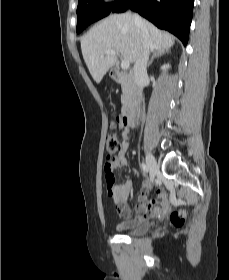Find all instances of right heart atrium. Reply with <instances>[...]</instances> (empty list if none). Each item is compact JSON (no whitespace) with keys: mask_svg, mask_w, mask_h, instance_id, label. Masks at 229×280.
Returning <instances> with one entry per match:
<instances>
[{"mask_svg":"<svg viewBox=\"0 0 229 280\" xmlns=\"http://www.w3.org/2000/svg\"><path fill=\"white\" fill-rule=\"evenodd\" d=\"M106 4L111 5L115 2H117V0H104Z\"/></svg>","mask_w":229,"mask_h":280,"instance_id":"d8ad5b80","label":"right heart atrium"}]
</instances>
